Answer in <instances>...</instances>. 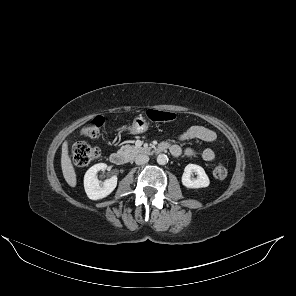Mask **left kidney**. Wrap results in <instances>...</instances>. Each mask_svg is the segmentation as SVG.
<instances>
[{
  "label": "left kidney",
  "mask_w": 296,
  "mask_h": 296,
  "mask_svg": "<svg viewBox=\"0 0 296 296\" xmlns=\"http://www.w3.org/2000/svg\"><path fill=\"white\" fill-rule=\"evenodd\" d=\"M193 172L197 173V178H191ZM182 184L187 188H203L208 187L210 181L205 170L201 166L188 164L182 175Z\"/></svg>",
  "instance_id": "left-kidney-1"
}]
</instances>
